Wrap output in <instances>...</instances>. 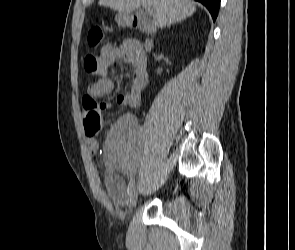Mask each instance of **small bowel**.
Listing matches in <instances>:
<instances>
[{"label":"small bowel","mask_w":295,"mask_h":250,"mask_svg":"<svg viewBox=\"0 0 295 250\" xmlns=\"http://www.w3.org/2000/svg\"><path fill=\"white\" fill-rule=\"evenodd\" d=\"M125 61L134 69L130 92L117 97L118 104L122 106L137 107L140 104L141 94L148 82V76L141 73L145 62V55L141 44L136 40H128L119 46L106 44L99 57L100 69L98 80L88 85L86 96L98 98L109 94L114 89V81L108 76V68L111 64ZM104 112L111 109L109 103H102ZM90 154H96L99 150L97 141L88 137L86 140ZM141 130L136 120L130 115L120 117L110 129L105 144L107 156V175L105 183L109 191L118 199L122 198L126 186L117 170L124 168L126 164L135 162L141 151Z\"/></svg>","instance_id":"obj_1"}]
</instances>
